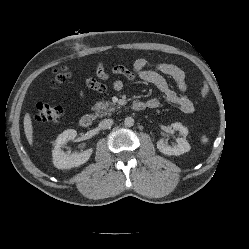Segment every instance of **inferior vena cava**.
Returning <instances> with one entry per match:
<instances>
[{
  "label": "inferior vena cava",
  "instance_id": "1",
  "mask_svg": "<svg viewBox=\"0 0 249 249\" xmlns=\"http://www.w3.org/2000/svg\"><path fill=\"white\" fill-rule=\"evenodd\" d=\"M113 119H104L99 123L100 129H108L112 126Z\"/></svg>",
  "mask_w": 249,
  "mask_h": 249
}]
</instances>
